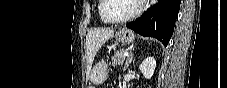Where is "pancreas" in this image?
<instances>
[{"label":"pancreas","mask_w":227,"mask_h":88,"mask_svg":"<svg viewBox=\"0 0 227 88\" xmlns=\"http://www.w3.org/2000/svg\"><path fill=\"white\" fill-rule=\"evenodd\" d=\"M124 51L121 50V51H116L114 53V55L112 56V64L114 66L116 65H123L124 64V61H125V56L123 55Z\"/></svg>","instance_id":"obj_1"}]
</instances>
